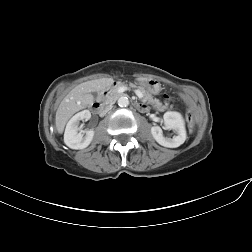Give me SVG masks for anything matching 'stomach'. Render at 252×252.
<instances>
[{
    "label": "stomach",
    "instance_id": "obj_1",
    "mask_svg": "<svg viewBox=\"0 0 252 252\" xmlns=\"http://www.w3.org/2000/svg\"><path fill=\"white\" fill-rule=\"evenodd\" d=\"M142 89H144L149 94H158L161 91V84L156 79H148L141 82Z\"/></svg>",
    "mask_w": 252,
    "mask_h": 252
}]
</instances>
